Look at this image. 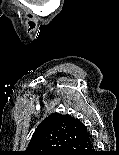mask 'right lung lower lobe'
<instances>
[{
  "label": "right lung lower lobe",
  "mask_w": 119,
  "mask_h": 155,
  "mask_svg": "<svg viewBox=\"0 0 119 155\" xmlns=\"http://www.w3.org/2000/svg\"><path fill=\"white\" fill-rule=\"evenodd\" d=\"M61 155H95L93 140L89 132L73 142Z\"/></svg>",
  "instance_id": "right-lung-lower-lobe-1"
}]
</instances>
